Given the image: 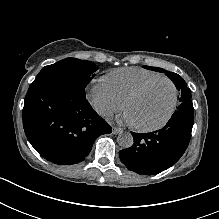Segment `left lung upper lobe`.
Segmentation results:
<instances>
[{
	"instance_id": "1",
	"label": "left lung upper lobe",
	"mask_w": 219,
	"mask_h": 219,
	"mask_svg": "<svg viewBox=\"0 0 219 219\" xmlns=\"http://www.w3.org/2000/svg\"><path fill=\"white\" fill-rule=\"evenodd\" d=\"M143 67L149 70L165 73L175 84L176 88L181 92V97L179 99L181 103L173 115L184 114V113L194 114V108L191 101V93L187 88L186 82L183 80L181 76L173 72H168L162 68L150 67V66H143Z\"/></svg>"
}]
</instances>
